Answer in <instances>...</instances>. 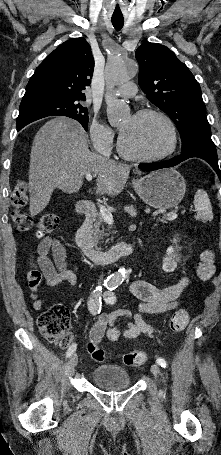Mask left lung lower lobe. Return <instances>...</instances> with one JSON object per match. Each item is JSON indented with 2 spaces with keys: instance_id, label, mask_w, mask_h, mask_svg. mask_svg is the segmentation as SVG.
<instances>
[{
  "instance_id": "1",
  "label": "left lung lower lobe",
  "mask_w": 221,
  "mask_h": 455,
  "mask_svg": "<svg viewBox=\"0 0 221 455\" xmlns=\"http://www.w3.org/2000/svg\"><path fill=\"white\" fill-rule=\"evenodd\" d=\"M191 157H198L208 162L215 170V172L218 174V177L221 180V173L218 166L217 151L214 143L195 142L188 148L182 150V153L179 156H176L167 161L140 164L139 168L144 171H154L162 168L175 166Z\"/></svg>"
}]
</instances>
